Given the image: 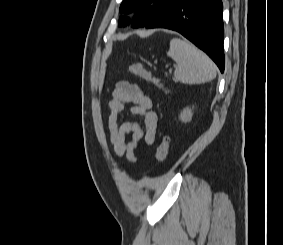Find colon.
<instances>
[{"mask_svg": "<svg viewBox=\"0 0 283 245\" xmlns=\"http://www.w3.org/2000/svg\"><path fill=\"white\" fill-rule=\"evenodd\" d=\"M129 71L147 81V82H151L154 85H156L158 88L162 89L164 92H168V90L164 87V85L162 84L161 80L155 76H153L148 70H146L141 63L139 62H133L129 64ZM169 138L167 136H164L160 143L157 146L156 149V160L159 163H162L166 160L167 156H168V151H169Z\"/></svg>", "mask_w": 283, "mask_h": 245, "instance_id": "obj_1", "label": "colon"}]
</instances>
